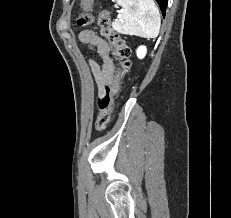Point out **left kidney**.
Wrapping results in <instances>:
<instances>
[{
  "instance_id": "obj_1",
  "label": "left kidney",
  "mask_w": 231,
  "mask_h": 218,
  "mask_svg": "<svg viewBox=\"0 0 231 218\" xmlns=\"http://www.w3.org/2000/svg\"><path fill=\"white\" fill-rule=\"evenodd\" d=\"M146 52H147V49L145 46H140L138 49H137V56L139 59H142L145 57L146 55Z\"/></svg>"
}]
</instances>
